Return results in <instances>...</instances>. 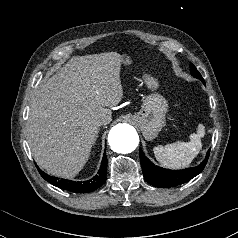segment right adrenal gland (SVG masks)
Listing matches in <instances>:
<instances>
[{
    "instance_id": "2a0ac1e0",
    "label": "right adrenal gland",
    "mask_w": 238,
    "mask_h": 238,
    "mask_svg": "<svg viewBox=\"0 0 238 238\" xmlns=\"http://www.w3.org/2000/svg\"><path fill=\"white\" fill-rule=\"evenodd\" d=\"M97 137H98V133H97V135H96L95 141H96Z\"/></svg>"
}]
</instances>
